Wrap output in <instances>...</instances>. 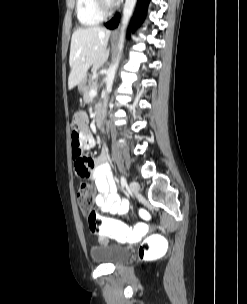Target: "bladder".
Segmentation results:
<instances>
[{"label":"bladder","instance_id":"obj_1","mask_svg":"<svg viewBox=\"0 0 247 304\" xmlns=\"http://www.w3.org/2000/svg\"><path fill=\"white\" fill-rule=\"evenodd\" d=\"M129 255L127 248L118 245H99L90 250L91 259L98 264L118 265Z\"/></svg>","mask_w":247,"mask_h":304}]
</instances>
